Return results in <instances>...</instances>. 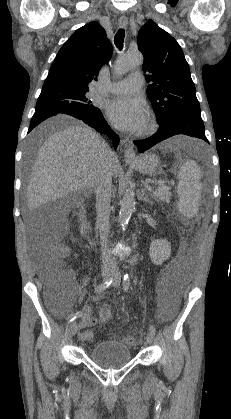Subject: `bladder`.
Listing matches in <instances>:
<instances>
[{
	"mask_svg": "<svg viewBox=\"0 0 231 419\" xmlns=\"http://www.w3.org/2000/svg\"><path fill=\"white\" fill-rule=\"evenodd\" d=\"M89 359L104 369H118L131 361L132 353L123 342L104 340L90 349Z\"/></svg>",
	"mask_w": 231,
	"mask_h": 419,
	"instance_id": "bladder-1",
	"label": "bladder"
}]
</instances>
